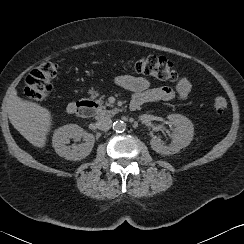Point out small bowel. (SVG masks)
Returning <instances> with one entry per match:
<instances>
[{
	"label": "small bowel",
	"mask_w": 244,
	"mask_h": 244,
	"mask_svg": "<svg viewBox=\"0 0 244 244\" xmlns=\"http://www.w3.org/2000/svg\"><path fill=\"white\" fill-rule=\"evenodd\" d=\"M114 83L134 93L131 104L135 109L146 103L170 101L175 97L186 100L191 91V83L186 77L181 78L175 88L167 86L151 88L150 81L146 78L131 75L118 76L114 79Z\"/></svg>",
	"instance_id": "obj_1"
}]
</instances>
